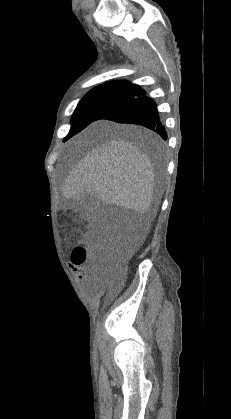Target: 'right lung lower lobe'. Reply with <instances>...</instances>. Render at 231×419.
<instances>
[{"instance_id": "obj_1", "label": "right lung lower lobe", "mask_w": 231, "mask_h": 419, "mask_svg": "<svg viewBox=\"0 0 231 419\" xmlns=\"http://www.w3.org/2000/svg\"><path fill=\"white\" fill-rule=\"evenodd\" d=\"M100 119L142 125L158 133L164 140L167 139L155 101L145 96V92L138 86L128 99L107 111Z\"/></svg>"}]
</instances>
